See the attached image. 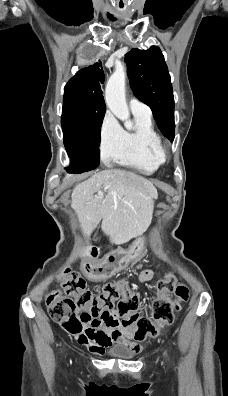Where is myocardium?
<instances>
[{"instance_id": "obj_1", "label": "myocardium", "mask_w": 228, "mask_h": 396, "mask_svg": "<svg viewBox=\"0 0 228 396\" xmlns=\"http://www.w3.org/2000/svg\"><path fill=\"white\" fill-rule=\"evenodd\" d=\"M153 154L163 163L167 158V152L163 145L160 143L153 149Z\"/></svg>"}]
</instances>
